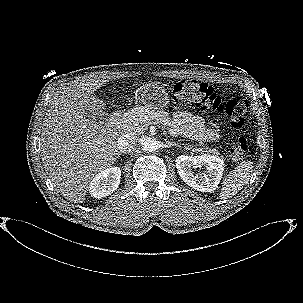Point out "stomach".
I'll return each instance as SVG.
<instances>
[{
    "label": "stomach",
    "instance_id": "stomach-1",
    "mask_svg": "<svg viewBox=\"0 0 303 303\" xmlns=\"http://www.w3.org/2000/svg\"><path fill=\"white\" fill-rule=\"evenodd\" d=\"M139 101L144 108L158 110L169 103L168 93L160 83H149L143 86Z\"/></svg>",
    "mask_w": 303,
    "mask_h": 303
}]
</instances>
